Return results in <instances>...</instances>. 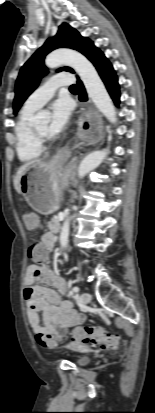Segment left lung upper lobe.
Listing matches in <instances>:
<instances>
[{
	"instance_id": "left-lung-upper-lobe-1",
	"label": "left lung upper lobe",
	"mask_w": 155,
	"mask_h": 413,
	"mask_svg": "<svg viewBox=\"0 0 155 413\" xmlns=\"http://www.w3.org/2000/svg\"><path fill=\"white\" fill-rule=\"evenodd\" d=\"M61 47L75 49L85 55L90 61L100 52L88 38L82 37L70 25L63 23L59 27L57 34L48 39L21 68L15 86L14 114L17 113L26 98L36 89L42 76L47 73V69L44 66L45 56L52 50ZM61 70L74 72L69 67L61 68L58 71Z\"/></svg>"
}]
</instances>
